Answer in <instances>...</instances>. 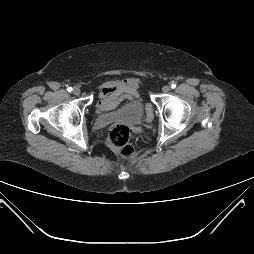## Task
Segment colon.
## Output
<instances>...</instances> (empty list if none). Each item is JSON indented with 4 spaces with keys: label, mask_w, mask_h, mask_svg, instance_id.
Returning a JSON list of instances; mask_svg holds the SVG:
<instances>
[{
    "label": "colon",
    "mask_w": 254,
    "mask_h": 254,
    "mask_svg": "<svg viewBox=\"0 0 254 254\" xmlns=\"http://www.w3.org/2000/svg\"><path fill=\"white\" fill-rule=\"evenodd\" d=\"M131 130L125 124L115 125L109 132L108 146L121 158L129 159L134 155V147L130 142Z\"/></svg>",
    "instance_id": "1"
}]
</instances>
